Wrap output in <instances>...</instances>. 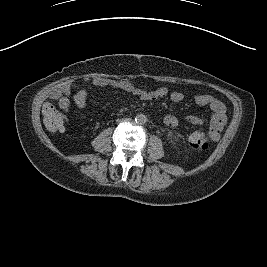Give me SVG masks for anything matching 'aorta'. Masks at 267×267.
<instances>
[{
    "instance_id": "aorta-1",
    "label": "aorta",
    "mask_w": 267,
    "mask_h": 267,
    "mask_svg": "<svg viewBox=\"0 0 267 267\" xmlns=\"http://www.w3.org/2000/svg\"><path fill=\"white\" fill-rule=\"evenodd\" d=\"M135 121H136V123H138V124H144V123H146L147 118H146L145 115H142V114H141V115H137V116H136Z\"/></svg>"
}]
</instances>
